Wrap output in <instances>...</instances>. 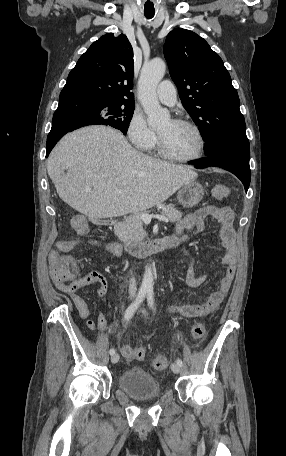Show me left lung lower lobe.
I'll return each mask as SVG.
<instances>
[{"label": "left lung lower lobe", "instance_id": "obj_1", "mask_svg": "<svg viewBox=\"0 0 286 456\" xmlns=\"http://www.w3.org/2000/svg\"><path fill=\"white\" fill-rule=\"evenodd\" d=\"M204 151L207 158L199 162H193L192 164L195 168L201 169L215 166L228 170L242 181L247 192L251 179L248 140L225 139L216 142Z\"/></svg>", "mask_w": 286, "mask_h": 456}]
</instances>
